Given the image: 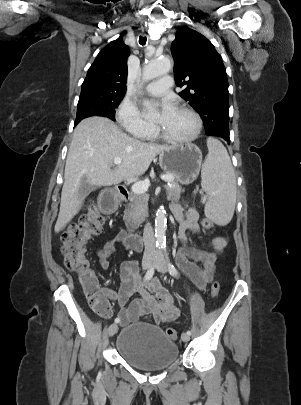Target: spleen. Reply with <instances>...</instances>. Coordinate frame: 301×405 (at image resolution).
<instances>
[{
  "mask_svg": "<svg viewBox=\"0 0 301 405\" xmlns=\"http://www.w3.org/2000/svg\"><path fill=\"white\" fill-rule=\"evenodd\" d=\"M208 155L202 166V187L209 199L206 216L218 225H227L236 204V179L230 157L224 145L215 138L207 139Z\"/></svg>",
  "mask_w": 301,
  "mask_h": 405,
  "instance_id": "obj_1",
  "label": "spleen"
}]
</instances>
